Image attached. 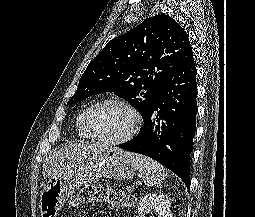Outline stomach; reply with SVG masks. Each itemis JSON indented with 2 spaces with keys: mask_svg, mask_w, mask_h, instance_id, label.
<instances>
[{
  "mask_svg": "<svg viewBox=\"0 0 255 217\" xmlns=\"http://www.w3.org/2000/svg\"><path fill=\"white\" fill-rule=\"evenodd\" d=\"M135 170L128 153L117 148H107L94 158L76 163L44 185L40 194L41 217H57L67 199L97 177L125 180L132 178Z\"/></svg>",
  "mask_w": 255,
  "mask_h": 217,
  "instance_id": "1",
  "label": "stomach"
}]
</instances>
